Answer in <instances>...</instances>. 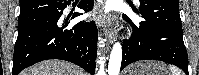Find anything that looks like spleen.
<instances>
[{
    "mask_svg": "<svg viewBox=\"0 0 199 75\" xmlns=\"http://www.w3.org/2000/svg\"><path fill=\"white\" fill-rule=\"evenodd\" d=\"M172 75H182L181 71L176 67H170Z\"/></svg>",
    "mask_w": 199,
    "mask_h": 75,
    "instance_id": "spleen-1",
    "label": "spleen"
}]
</instances>
